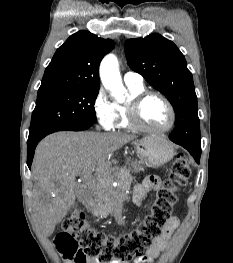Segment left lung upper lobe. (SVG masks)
<instances>
[{
  "label": "left lung upper lobe",
  "instance_id": "left-lung-upper-lobe-1",
  "mask_svg": "<svg viewBox=\"0 0 233 263\" xmlns=\"http://www.w3.org/2000/svg\"><path fill=\"white\" fill-rule=\"evenodd\" d=\"M125 53L130 68L141 74L172 104L176 127L170 139L201 149L193 77L177 46L159 34H151L145 38L129 39Z\"/></svg>",
  "mask_w": 233,
  "mask_h": 263
}]
</instances>
